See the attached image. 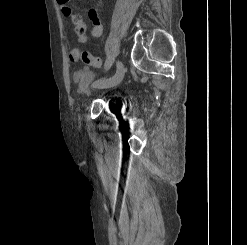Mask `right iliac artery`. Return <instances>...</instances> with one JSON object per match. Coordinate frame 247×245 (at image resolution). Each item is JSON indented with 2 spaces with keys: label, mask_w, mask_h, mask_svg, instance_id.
Wrapping results in <instances>:
<instances>
[{
  "label": "right iliac artery",
  "mask_w": 247,
  "mask_h": 245,
  "mask_svg": "<svg viewBox=\"0 0 247 245\" xmlns=\"http://www.w3.org/2000/svg\"><path fill=\"white\" fill-rule=\"evenodd\" d=\"M112 62H113L112 59H110V58L108 57V59L106 60V62H105V64H104L105 66H104V70H103V71L105 72V73H104L105 75L107 74L106 71L109 69V67L111 66ZM93 85L96 86L97 84L94 83Z\"/></svg>",
  "instance_id": "82829eb1"
}]
</instances>
